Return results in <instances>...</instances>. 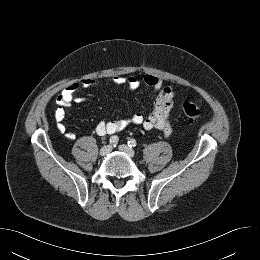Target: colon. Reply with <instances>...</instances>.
I'll list each match as a JSON object with an SVG mask.
<instances>
[{"label": "colon", "instance_id": "5ec220e1", "mask_svg": "<svg viewBox=\"0 0 260 260\" xmlns=\"http://www.w3.org/2000/svg\"><path fill=\"white\" fill-rule=\"evenodd\" d=\"M183 112L190 123L195 122L201 115L200 108L192 102H185L183 104Z\"/></svg>", "mask_w": 260, "mask_h": 260}]
</instances>
